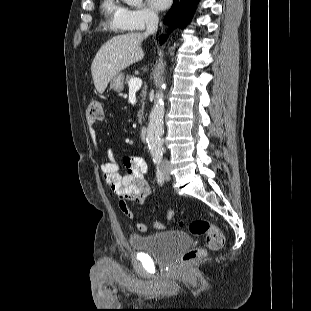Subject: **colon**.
Here are the masks:
<instances>
[{
    "mask_svg": "<svg viewBox=\"0 0 311 311\" xmlns=\"http://www.w3.org/2000/svg\"><path fill=\"white\" fill-rule=\"evenodd\" d=\"M86 116L88 121H99L103 118V106L99 99L93 98L89 101ZM180 224L182 225L183 222L181 221ZM189 231L193 236H205L206 248H194L185 252L181 259L183 265L202 259L208 251L219 250L224 245L222 231L208 220L193 219L189 224Z\"/></svg>",
    "mask_w": 311,
    "mask_h": 311,
    "instance_id": "5ec220e1",
    "label": "colon"
}]
</instances>
